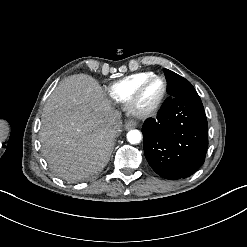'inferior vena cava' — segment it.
I'll use <instances>...</instances> for the list:
<instances>
[{
    "label": "inferior vena cava",
    "mask_w": 247,
    "mask_h": 247,
    "mask_svg": "<svg viewBox=\"0 0 247 247\" xmlns=\"http://www.w3.org/2000/svg\"><path fill=\"white\" fill-rule=\"evenodd\" d=\"M112 121L114 123V125L112 127V132L114 133V136H118L121 132L122 123L118 122L115 119H113Z\"/></svg>",
    "instance_id": "obj_1"
}]
</instances>
